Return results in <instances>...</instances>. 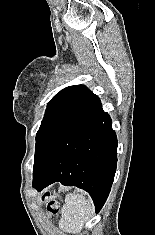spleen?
I'll return each mask as SVG.
<instances>
[{
	"mask_svg": "<svg viewBox=\"0 0 155 235\" xmlns=\"http://www.w3.org/2000/svg\"><path fill=\"white\" fill-rule=\"evenodd\" d=\"M93 210L92 202L82 194L67 195L62 208L60 227L66 232L79 233Z\"/></svg>",
	"mask_w": 155,
	"mask_h": 235,
	"instance_id": "3e777b00",
	"label": "spleen"
}]
</instances>
